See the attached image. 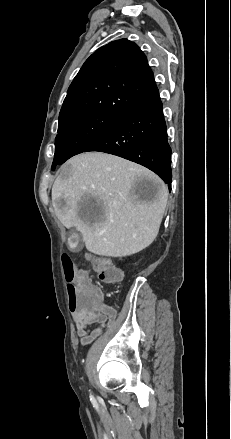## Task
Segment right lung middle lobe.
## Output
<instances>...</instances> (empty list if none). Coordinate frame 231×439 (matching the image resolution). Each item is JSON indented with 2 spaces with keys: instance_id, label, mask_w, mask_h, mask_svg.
<instances>
[{
  "instance_id": "dd1d6c3e",
  "label": "right lung middle lobe",
  "mask_w": 231,
  "mask_h": 439,
  "mask_svg": "<svg viewBox=\"0 0 231 439\" xmlns=\"http://www.w3.org/2000/svg\"><path fill=\"white\" fill-rule=\"evenodd\" d=\"M123 116L93 110L59 118L52 170L69 158L84 152Z\"/></svg>"
}]
</instances>
